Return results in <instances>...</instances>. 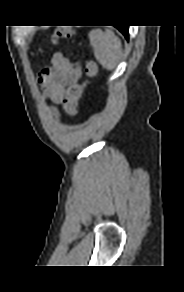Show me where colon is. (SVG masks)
Returning <instances> with one entry per match:
<instances>
[{"mask_svg": "<svg viewBox=\"0 0 184 292\" xmlns=\"http://www.w3.org/2000/svg\"><path fill=\"white\" fill-rule=\"evenodd\" d=\"M71 33V30L68 27L58 28L54 33V39L59 40L68 36ZM87 75L89 77H95L98 73L97 64L93 61L88 62L86 67ZM86 87L84 84H72L66 90V95L63 99L64 110L72 115L76 116L79 114V102L83 94V90Z\"/></svg>", "mask_w": 184, "mask_h": 292, "instance_id": "1", "label": "colon"}]
</instances>
